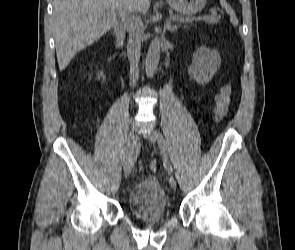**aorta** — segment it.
<instances>
[{
    "label": "aorta",
    "instance_id": "1",
    "mask_svg": "<svg viewBox=\"0 0 295 250\" xmlns=\"http://www.w3.org/2000/svg\"><path fill=\"white\" fill-rule=\"evenodd\" d=\"M160 59V45L158 41L153 40L148 48L145 61V70L147 77H153L155 74Z\"/></svg>",
    "mask_w": 295,
    "mask_h": 250
}]
</instances>
